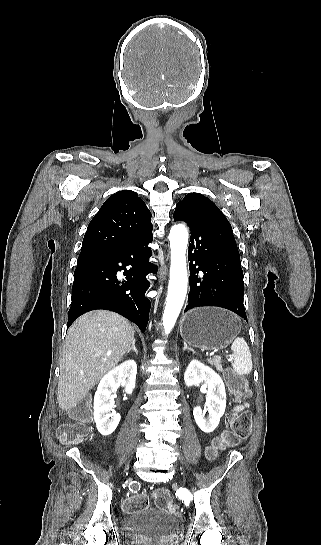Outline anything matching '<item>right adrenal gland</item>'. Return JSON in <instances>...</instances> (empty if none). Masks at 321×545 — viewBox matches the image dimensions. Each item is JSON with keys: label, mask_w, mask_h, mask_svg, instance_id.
Wrapping results in <instances>:
<instances>
[{"label": "right adrenal gland", "mask_w": 321, "mask_h": 545, "mask_svg": "<svg viewBox=\"0 0 321 545\" xmlns=\"http://www.w3.org/2000/svg\"><path fill=\"white\" fill-rule=\"evenodd\" d=\"M135 341H136V339H133L132 347H130V349H128L127 353H130V351H134V353H136V355H138V351H137V349L135 347Z\"/></svg>", "instance_id": "1"}]
</instances>
